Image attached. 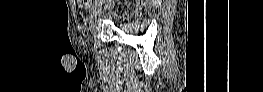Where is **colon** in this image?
Returning a JSON list of instances; mask_svg holds the SVG:
<instances>
[{
	"label": "colon",
	"instance_id": "1",
	"mask_svg": "<svg viewBox=\"0 0 263 92\" xmlns=\"http://www.w3.org/2000/svg\"><path fill=\"white\" fill-rule=\"evenodd\" d=\"M78 2H80L85 8H89V6H90L92 1H90V0H80Z\"/></svg>",
	"mask_w": 263,
	"mask_h": 92
}]
</instances>
